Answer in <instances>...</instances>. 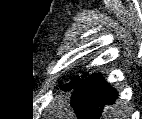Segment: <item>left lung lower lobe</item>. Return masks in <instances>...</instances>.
<instances>
[{
    "instance_id": "left-lung-lower-lobe-1",
    "label": "left lung lower lobe",
    "mask_w": 142,
    "mask_h": 119,
    "mask_svg": "<svg viewBox=\"0 0 142 119\" xmlns=\"http://www.w3.org/2000/svg\"><path fill=\"white\" fill-rule=\"evenodd\" d=\"M118 94L101 74L86 75L74 89L71 105L79 119H99L105 105L115 103Z\"/></svg>"
}]
</instances>
